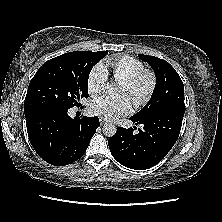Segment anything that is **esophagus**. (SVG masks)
<instances>
[{"mask_svg": "<svg viewBox=\"0 0 222 222\" xmlns=\"http://www.w3.org/2000/svg\"><path fill=\"white\" fill-rule=\"evenodd\" d=\"M101 125H105L107 122L105 120H100Z\"/></svg>", "mask_w": 222, "mask_h": 222, "instance_id": "obj_1", "label": "esophagus"}]
</instances>
